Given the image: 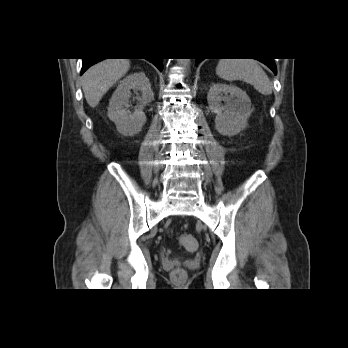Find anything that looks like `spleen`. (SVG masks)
I'll use <instances>...</instances> for the list:
<instances>
[{
	"label": "spleen",
	"mask_w": 348,
	"mask_h": 348,
	"mask_svg": "<svg viewBox=\"0 0 348 348\" xmlns=\"http://www.w3.org/2000/svg\"><path fill=\"white\" fill-rule=\"evenodd\" d=\"M216 74L226 81H245L262 95L272 94L273 87L267 74L254 59H221Z\"/></svg>",
	"instance_id": "1"
}]
</instances>
